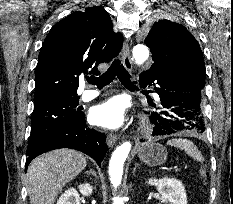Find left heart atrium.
<instances>
[{"label": "left heart atrium", "mask_w": 233, "mask_h": 204, "mask_svg": "<svg viewBox=\"0 0 233 204\" xmlns=\"http://www.w3.org/2000/svg\"><path fill=\"white\" fill-rule=\"evenodd\" d=\"M125 107L122 99L118 97L111 98L92 108L89 114L90 122L103 128H119L126 120Z\"/></svg>", "instance_id": "left-heart-atrium-1"}]
</instances>
